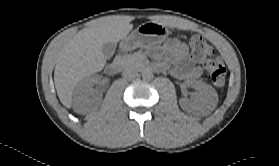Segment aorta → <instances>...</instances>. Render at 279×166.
<instances>
[{
	"instance_id": "1",
	"label": "aorta",
	"mask_w": 279,
	"mask_h": 166,
	"mask_svg": "<svg viewBox=\"0 0 279 166\" xmlns=\"http://www.w3.org/2000/svg\"><path fill=\"white\" fill-rule=\"evenodd\" d=\"M142 78H143L144 80H151V79H153V73H152V71H151V70H148V69L143 70V72H142Z\"/></svg>"
}]
</instances>
